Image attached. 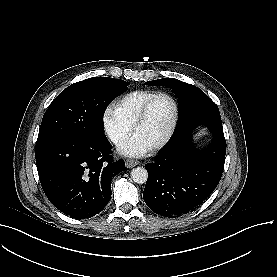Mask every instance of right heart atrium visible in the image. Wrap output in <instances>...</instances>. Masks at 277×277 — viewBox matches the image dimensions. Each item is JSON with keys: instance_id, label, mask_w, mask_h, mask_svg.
<instances>
[{"instance_id": "obj_1", "label": "right heart atrium", "mask_w": 277, "mask_h": 277, "mask_svg": "<svg viewBox=\"0 0 277 277\" xmlns=\"http://www.w3.org/2000/svg\"><path fill=\"white\" fill-rule=\"evenodd\" d=\"M102 127L105 134L115 142L123 139L129 132L128 125L110 109L103 113Z\"/></svg>"}]
</instances>
